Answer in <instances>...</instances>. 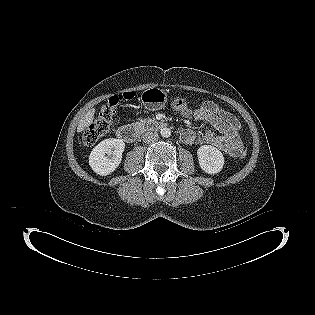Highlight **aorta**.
Wrapping results in <instances>:
<instances>
[{"label":"aorta","mask_w":315,"mask_h":315,"mask_svg":"<svg viewBox=\"0 0 315 315\" xmlns=\"http://www.w3.org/2000/svg\"><path fill=\"white\" fill-rule=\"evenodd\" d=\"M161 136L164 138H168L171 136V130L169 128H163L161 129Z\"/></svg>","instance_id":"aorta-1"}]
</instances>
